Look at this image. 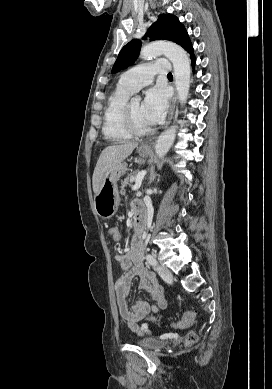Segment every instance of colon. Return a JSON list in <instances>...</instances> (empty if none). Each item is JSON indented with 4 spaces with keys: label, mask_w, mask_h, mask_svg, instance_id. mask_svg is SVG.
I'll return each instance as SVG.
<instances>
[{
    "label": "colon",
    "mask_w": 272,
    "mask_h": 389,
    "mask_svg": "<svg viewBox=\"0 0 272 389\" xmlns=\"http://www.w3.org/2000/svg\"><path fill=\"white\" fill-rule=\"evenodd\" d=\"M108 234L110 238L115 242L119 241L121 238V232L117 227H110L108 229ZM151 319L156 321V318L154 316H151ZM192 322H193V314L191 312H187L174 326L176 328L184 329L189 327ZM197 339H198L197 333L194 331H190L186 335L185 342L187 345H192L197 341Z\"/></svg>",
    "instance_id": "colon-1"
}]
</instances>
